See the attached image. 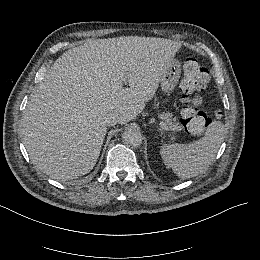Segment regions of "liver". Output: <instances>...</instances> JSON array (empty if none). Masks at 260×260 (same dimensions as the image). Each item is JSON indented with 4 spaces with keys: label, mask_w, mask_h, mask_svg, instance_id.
Returning a JSON list of instances; mask_svg holds the SVG:
<instances>
[{
    "label": "liver",
    "mask_w": 260,
    "mask_h": 260,
    "mask_svg": "<svg viewBox=\"0 0 260 260\" xmlns=\"http://www.w3.org/2000/svg\"><path fill=\"white\" fill-rule=\"evenodd\" d=\"M180 48L167 39L130 36L89 40L65 52L24 110L20 132L32 163L58 181L89 173L107 132L106 117L116 114L119 125L134 120Z\"/></svg>",
    "instance_id": "6515ba94"
}]
</instances>
